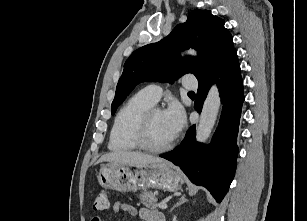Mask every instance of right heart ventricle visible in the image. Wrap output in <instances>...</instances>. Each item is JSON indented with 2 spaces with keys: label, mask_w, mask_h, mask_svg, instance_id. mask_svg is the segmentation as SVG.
<instances>
[{
  "label": "right heart ventricle",
  "mask_w": 307,
  "mask_h": 221,
  "mask_svg": "<svg viewBox=\"0 0 307 221\" xmlns=\"http://www.w3.org/2000/svg\"><path fill=\"white\" fill-rule=\"evenodd\" d=\"M155 103L142 92L132 96L117 112L109 137L108 147L113 152H127L138 148L134 133L141 115Z\"/></svg>",
  "instance_id": "obj_1"
}]
</instances>
